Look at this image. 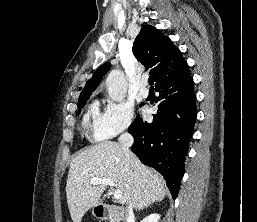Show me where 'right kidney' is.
<instances>
[{
    "mask_svg": "<svg viewBox=\"0 0 257 222\" xmlns=\"http://www.w3.org/2000/svg\"><path fill=\"white\" fill-rule=\"evenodd\" d=\"M160 219V215L157 213L150 214L146 218H144L141 222H158Z\"/></svg>",
    "mask_w": 257,
    "mask_h": 222,
    "instance_id": "ca27d5eb",
    "label": "right kidney"
}]
</instances>
